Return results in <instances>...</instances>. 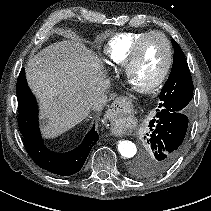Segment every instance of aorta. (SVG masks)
<instances>
[{
    "label": "aorta",
    "instance_id": "762f6f07",
    "mask_svg": "<svg viewBox=\"0 0 211 211\" xmlns=\"http://www.w3.org/2000/svg\"><path fill=\"white\" fill-rule=\"evenodd\" d=\"M117 148L119 153L125 158H132L137 152L136 145L128 140L119 141Z\"/></svg>",
    "mask_w": 211,
    "mask_h": 211
}]
</instances>
